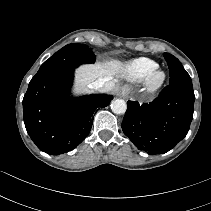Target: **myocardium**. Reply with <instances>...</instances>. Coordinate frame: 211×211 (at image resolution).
<instances>
[{"instance_id":"f54148a6","label":"myocardium","mask_w":211,"mask_h":211,"mask_svg":"<svg viewBox=\"0 0 211 211\" xmlns=\"http://www.w3.org/2000/svg\"><path fill=\"white\" fill-rule=\"evenodd\" d=\"M166 82V73L160 69H156L146 79L144 85V92L147 96L156 95L164 86Z\"/></svg>"}]
</instances>
